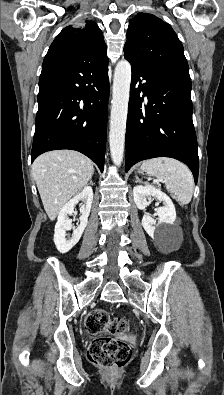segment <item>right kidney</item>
Here are the masks:
<instances>
[{
    "mask_svg": "<svg viewBox=\"0 0 224 395\" xmlns=\"http://www.w3.org/2000/svg\"><path fill=\"white\" fill-rule=\"evenodd\" d=\"M79 201L83 202L80 209L81 212V216L79 218L80 223L77 226V228H74L72 225V220L68 218V215L74 213V207ZM92 201H93V190L90 186H86L80 193H78L76 196H74V198L68 201L61 209L54 230L55 231L54 243L56 245L57 250L60 253L62 254L67 253L80 240L87 226ZM72 228H73L72 237L69 240H67L66 231H69Z\"/></svg>",
    "mask_w": 224,
    "mask_h": 395,
    "instance_id": "obj_1",
    "label": "right kidney"
}]
</instances>
